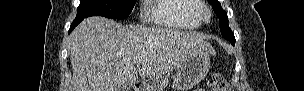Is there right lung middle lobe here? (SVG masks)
<instances>
[{"label": "right lung middle lobe", "instance_id": "1", "mask_svg": "<svg viewBox=\"0 0 304 91\" xmlns=\"http://www.w3.org/2000/svg\"><path fill=\"white\" fill-rule=\"evenodd\" d=\"M137 0H81L77 8L78 19L89 16H104L112 19H126Z\"/></svg>", "mask_w": 304, "mask_h": 91}]
</instances>
